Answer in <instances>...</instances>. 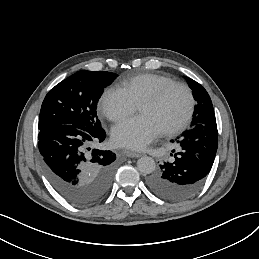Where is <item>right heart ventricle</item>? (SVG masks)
Returning <instances> with one entry per match:
<instances>
[{"instance_id":"right-heart-ventricle-1","label":"right heart ventricle","mask_w":259,"mask_h":259,"mask_svg":"<svg viewBox=\"0 0 259 259\" xmlns=\"http://www.w3.org/2000/svg\"><path fill=\"white\" fill-rule=\"evenodd\" d=\"M172 81L173 79L165 74L136 73L123 76L116 89L135 105H139L145 98L153 96L161 86Z\"/></svg>"}]
</instances>
